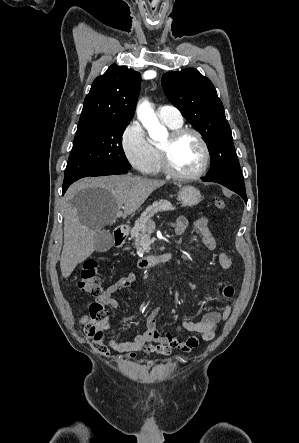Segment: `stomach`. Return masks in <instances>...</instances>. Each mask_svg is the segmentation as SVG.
Returning a JSON list of instances; mask_svg holds the SVG:
<instances>
[{"mask_svg": "<svg viewBox=\"0 0 299 443\" xmlns=\"http://www.w3.org/2000/svg\"><path fill=\"white\" fill-rule=\"evenodd\" d=\"M178 200L183 206L192 207L201 201V194L194 186H183L179 189Z\"/></svg>", "mask_w": 299, "mask_h": 443, "instance_id": "0dacf381", "label": "stomach"}]
</instances>
